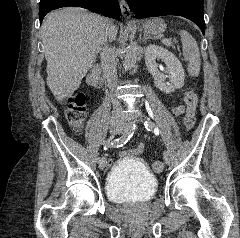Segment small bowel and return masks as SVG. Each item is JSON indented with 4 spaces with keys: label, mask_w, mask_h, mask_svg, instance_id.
Instances as JSON below:
<instances>
[{
    "label": "small bowel",
    "mask_w": 240,
    "mask_h": 238,
    "mask_svg": "<svg viewBox=\"0 0 240 238\" xmlns=\"http://www.w3.org/2000/svg\"><path fill=\"white\" fill-rule=\"evenodd\" d=\"M172 112L175 115H181L185 112V107L182 105L176 106L172 109ZM143 148H151V143H144V147L142 143L138 144V147L136 149H117V154H146L147 150ZM106 164L104 165L105 170H101V175H106L107 171L111 168V166H114V158L113 157H107L106 158Z\"/></svg>",
    "instance_id": "obj_1"
}]
</instances>
